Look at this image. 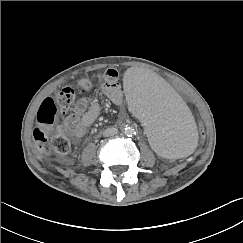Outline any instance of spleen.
I'll return each instance as SVG.
<instances>
[{
    "instance_id": "spleen-1",
    "label": "spleen",
    "mask_w": 243,
    "mask_h": 243,
    "mask_svg": "<svg viewBox=\"0 0 243 243\" xmlns=\"http://www.w3.org/2000/svg\"><path fill=\"white\" fill-rule=\"evenodd\" d=\"M123 97L142 126L151 147L166 159L186 156L196 143V124L186 104L151 69L132 72Z\"/></svg>"
}]
</instances>
